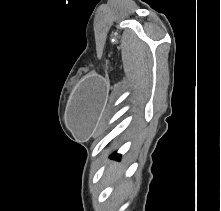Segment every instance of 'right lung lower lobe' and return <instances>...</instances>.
<instances>
[{
  "mask_svg": "<svg viewBox=\"0 0 221 211\" xmlns=\"http://www.w3.org/2000/svg\"><path fill=\"white\" fill-rule=\"evenodd\" d=\"M112 157H115V158L119 159V158H120V155H119V154L114 153V154L112 155Z\"/></svg>",
  "mask_w": 221,
  "mask_h": 211,
  "instance_id": "1",
  "label": "right lung lower lobe"
}]
</instances>
